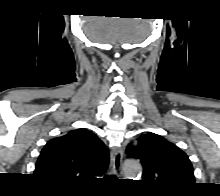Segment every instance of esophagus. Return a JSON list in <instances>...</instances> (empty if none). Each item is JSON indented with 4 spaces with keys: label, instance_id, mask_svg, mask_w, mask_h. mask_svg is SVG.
<instances>
[{
    "label": "esophagus",
    "instance_id": "obj_1",
    "mask_svg": "<svg viewBox=\"0 0 220 196\" xmlns=\"http://www.w3.org/2000/svg\"><path fill=\"white\" fill-rule=\"evenodd\" d=\"M123 149L122 148H116L111 150V171L112 173L121 176V166L123 161Z\"/></svg>",
    "mask_w": 220,
    "mask_h": 196
}]
</instances>
